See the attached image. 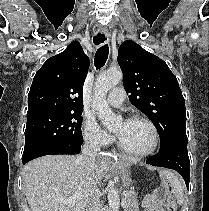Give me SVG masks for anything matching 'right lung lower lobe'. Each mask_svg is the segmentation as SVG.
<instances>
[{
	"instance_id": "right-lung-lower-lobe-1",
	"label": "right lung lower lobe",
	"mask_w": 209,
	"mask_h": 211,
	"mask_svg": "<svg viewBox=\"0 0 209 211\" xmlns=\"http://www.w3.org/2000/svg\"><path fill=\"white\" fill-rule=\"evenodd\" d=\"M82 143L73 144V143H67V144H56L51 145L49 147L43 148L34 154L30 155L26 159H22L23 164L41 157L45 155H54V154H78L80 152Z\"/></svg>"
}]
</instances>
